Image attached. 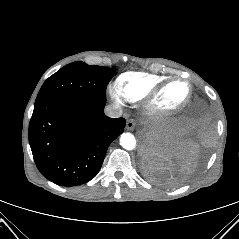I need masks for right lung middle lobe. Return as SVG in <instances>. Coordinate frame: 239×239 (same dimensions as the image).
Instances as JSON below:
<instances>
[{
	"instance_id": "dd1d6c3e",
	"label": "right lung middle lobe",
	"mask_w": 239,
	"mask_h": 239,
	"mask_svg": "<svg viewBox=\"0 0 239 239\" xmlns=\"http://www.w3.org/2000/svg\"><path fill=\"white\" fill-rule=\"evenodd\" d=\"M114 74L112 68L70 63L44 82L36 102L65 96L106 101V87Z\"/></svg>"
}]
</instances>
